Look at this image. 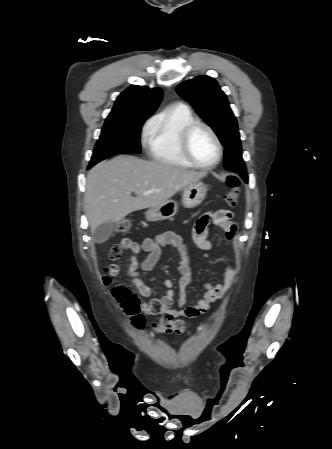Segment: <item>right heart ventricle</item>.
<instances>
[{
	"instance_id": "obj_1",
	"label": "right heart ventricle",
	"mask_w": 332,
	"mask_h": 449,
	"mask_svg": "<svg viewBox=\"0 0 332 449\" xmlns=\"http://www.w3.org/2000/svg\"><path fill=\"white\" fill-rule=\"evenodd\" d=\"M194 120L191 110L183 104L168 108L156 116L147 137L150 156L166 164L191 167L180 151L179 138L182 129Z\"/></svg>"
}]
</instances>
